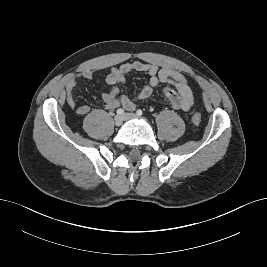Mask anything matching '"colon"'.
<instances>
[{
	"instance_id": "5ec220e1",
	"label": "colon",
	"mask_w": 267,
	"mask_h": 267,
	"mask_svg": "<svg viewBox=\"0 0 267 267\" xmlns=\"http://www.w3.org/2000/svg\"><path fill=\"white\" fill-rule=\"evenodd\" d=\"M192 123L194 126H198L201 123V116L199 113L195 112L192 114Z\"/></svg>"
}]
</instances>
